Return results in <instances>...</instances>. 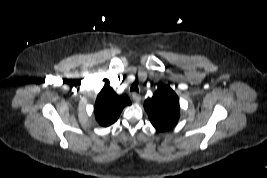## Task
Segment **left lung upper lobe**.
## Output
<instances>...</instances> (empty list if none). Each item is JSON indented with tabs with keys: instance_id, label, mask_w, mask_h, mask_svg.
<instances>
[{
	"instance_id": "5c2ea615",
	"label": "left lung upper lobe",
	"mask_w": 267,
	"mask_h": 178,
	"mask_svg": "<svg viewBox=\"0 0 267 178\" xmlns=\"http://www.w3.org/2000/svg\"><path fill=\"white\" fill-rule=\"evenodd\" d=\"M144 108L158 131L171 129L179 119V98L167 85L160 87L152 98L146 99Z\"/></svg>"
}]
</instances>
